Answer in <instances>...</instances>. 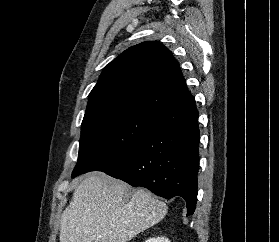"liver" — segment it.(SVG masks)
Listing matches in <instances>:
<instances>
[{
    "label": "liver",
    "mask_w": 279,
    "mask_h": 242,
    "mask_svg": "<svg viewBox=\"0 0 279 242\" xmlns=\"http://www.w3.org/2000/svg\"><path fill=\"white\" fill-rule=\"evenodd\" d=\"M167 205L103 173L80 181L63 211L60 242H128L161 221Z\"/></svg>",
    "instance_id": "obj_1"
}]
</instances>
